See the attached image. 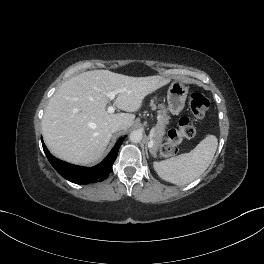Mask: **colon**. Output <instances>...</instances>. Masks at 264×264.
Returning a JSON list of instances; mask_svg holds the SVG:
<instances>
[{"mask_svg":"<svg viewBox=\"0 0 264 264\" xmlns=\"http://www.w3.org/2000/svg\"><path fill=\"white\" fill-rule=\"evenodd\" d=\"M188 105L195 119H202L210 108L209 100L199 92L189 95ZM196 133L195 123L188 117L180 118L178 127L168 133V139L161 148V153L165 157L174 155L179 144L187 138H191Z\"/></svg>","mask_w":264,"mask_h":264,"instance_id":"1","label":"colon"}]
</instances>
